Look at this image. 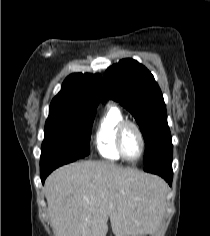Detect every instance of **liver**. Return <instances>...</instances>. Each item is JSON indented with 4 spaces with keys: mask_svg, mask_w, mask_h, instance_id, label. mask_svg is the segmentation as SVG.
<instances>
[{
    "mask_svg": "<svg viewBox=\"0 0 210 236\" xmlns=\"http://www.w3.org/2000/svg\"><path fill=\"white\" fill-rule=\"evenodd\" d=\"M166 185L158 176L107 161L60 167L45 181L55 236H115L153 233L164 207Z\"/></svg>",
    "mask_w": 210,
    "mask_h": 236,
    "instance_id": "1",
    "label": "liver"
}]
</instances>
